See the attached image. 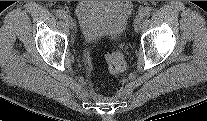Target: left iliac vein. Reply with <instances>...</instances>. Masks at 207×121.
Wrapping results in <instances>:
<instances>
[{"label":"left iliac vein","mask_w":207,"mask_h":121,"mask_svg":"<svg viewBox=\"0 0 207 121\" xmlns=\"http://www.w3.org/2000/svg\"><path fill=\"white\" fill-rule=\"evenodd\" d=\"M143 22V16L142 15H137L134 21V29L136 32H138L141 28Z\"/></svg>","instance_id":"left-iliac-vein-1"}]
</instances>
